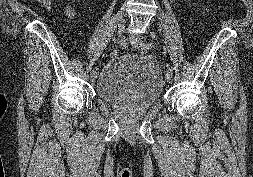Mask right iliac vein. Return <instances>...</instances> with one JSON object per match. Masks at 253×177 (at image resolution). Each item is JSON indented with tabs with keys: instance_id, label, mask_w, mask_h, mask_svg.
Masks as SVG:
<instances>
[{
	"instance_id": "obj_1",
	"label": "right iliac vein",
	"mask_w": 253,
	"mask_h": 177,
	"mask_svg": "<svg viewBox=\"0 0 253 177\" xmlns=\"http://www.w3.org/2000/svg\"><path fill=\"white\" fill-rule=\"evenodd\" d=\"M116 20L118 23V32L119 34H122L124 31V24H125L124 18L122 15H117ZM96 78H97V72L96 71L91 72V81L94 82Z\"/></svg>"
}]
</instances>
